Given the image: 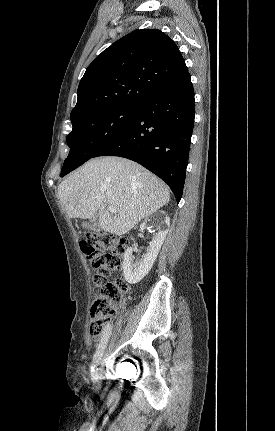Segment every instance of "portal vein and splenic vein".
<instances>
[{"mask_svg": "<svg viewBox=\"0 0 275 431\" xmlns=\"http://www.w3.org/2000/svg\"><path fill=\"white\" fill-rule=\"evenodd\" d=\"M108 210L111 212V213H116L117 211H116V208L114 207V206H109L108 207Z\"/></svg>", "mask_w": 275, "mask_h": 431, "instance_id": "18ae733b", "label": "portal vein and splenic vein"}]
</instances>
